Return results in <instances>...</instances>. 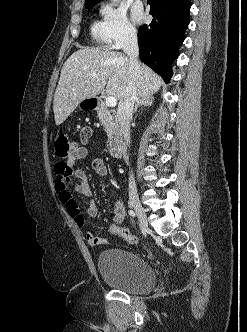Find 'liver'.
Masks as SVG:
<instances>
[{"label":"liver","instance_id":"6515ba94","mask_svg":"<svg viewBox=\"0 0 247 332\" xmlns=\"http://www.w3.org/2000/svg\"><path fill=\"white\" fill-rule=\"evenodd\" d=\"M129 81V58L122 53L92 47L77 50L64 63L54 94L56 125L62 124L81 101L104 90L121 100ZM162 84L156 73L140 65L136 83L139 97L153 95Z\"/></svg>","mask_w":247,"mask_h":332}]
</instances>
